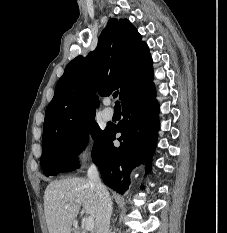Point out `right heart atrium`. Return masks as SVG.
<instances>
[{"label": "right heart atrium", "instance_id": "obj_1", "mask_svg": "<svg viewBox=\"0 0 227 233\" xmlns=\"http://www.w3.org/2000/svg\"><path fill=\"white\" fill-rule=\"evenodd\" d=\"M92 156V143L89 138L81 139L74 147L72 153L73 162L81 166Z\"/></svg>", "mask_w": 227, "mask_h": 233}]
</instances>
